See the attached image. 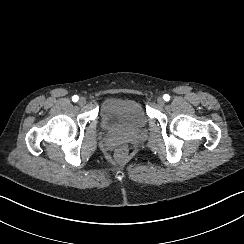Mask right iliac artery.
<instances>
[{
	"label": "right iliac artery",
	"mask_w": 244,
	"mask_h": 244,
	"mask_svg": "<svg viewBox=\"0 0 244 244\" xmlns=\"http://www.w3.org/2000/svg\"><path fill=\"white\" fill-rule=\"evenodd\" d=\"M78 99H79V97H78L77 95H74V96L72 97L73 102H77Z\"/></svg>",
	"instance_id": "obj_1"
}]
</instances>
